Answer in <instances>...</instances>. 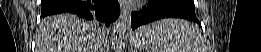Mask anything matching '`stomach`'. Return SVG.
<instances>
[{
  "label": "stomach",
  "mask_w": 261,
  "mask_h": 52,
  "mask_svg": "<svg viewBox=\"0 0 261 52\" xmlns=\"http://www.w3.org/2000/svg\"><path fill=\"white\" fill-rule=\"evenodd\" d=\"M130 42L136 49L148 48L151 45L150 38L146 36L144 29L141 28L132 34Z\"/></svg>",
  "instance_id": "stomach-1"
}]
</instances>
